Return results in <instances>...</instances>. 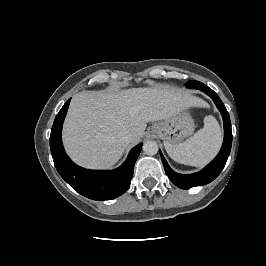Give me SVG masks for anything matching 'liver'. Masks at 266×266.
<instances>
[{
    "mask_svg": "<svg viewBox=\"0 0 266 266\" xmlns=\"http://www.w3.org/2000/svg\"><path fill=\"white\" fill-rule=\"evenodd\" d=\"M203 102L173 88H132L118 92L83 91L70 103L63 142L72 159L88 168H108L121 158L128 144L119 134L132 135L136 144L148 122L165 120Z\"/></svg>",
    "mask_w": 266,
    "mask_h": 266,
    "instance_id": "liver-1",
    "label": "liver"
}]
</instances>
